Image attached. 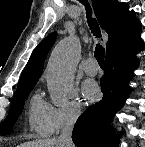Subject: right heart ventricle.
<instances>
[{
	"mask_svg": "<svg viewBox=\"0 0 145 147\" xmlns=\"http://www.w3.org/2000/svg\"><path fill=\"white\" fill-rule=\"evenodd\" d=\"M49 106L39 94H35L30 100L28 123L30 130L38 136H47L51 133L48 120Z\"/></svg>",
	"mask_w": 145,
	"mask_h": 147,
	"instance_id": "obj_1",
	"label": "right heart ventricle"
}]
</instances>
